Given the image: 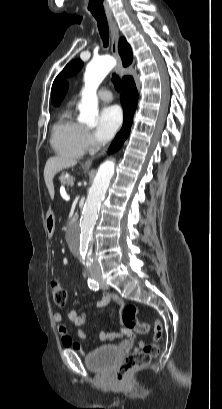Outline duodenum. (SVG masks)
<instances>
[{"label": "duodenum", "mask_w": 222, "mask_h": 409, "mask_svg": "<svg viewBox=\"0 0 222 409\" xmlns=\"http://www.w3.org/2000/svg\"><path fill=\"white\" fill-rule=\"evenodd\" d=\"M77 221H78V217H77V215H74L73 218H72V222L76 223Z\"/></svg>", "instance_id": "duodenum-1"}]
</instances>
